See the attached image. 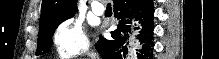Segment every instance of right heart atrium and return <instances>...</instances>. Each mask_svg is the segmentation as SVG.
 I'll return each instance as SVG.
<instances>
[{
  "mask_svg": "<svg viewBox=\"0 0 219 59\" xmlns=\"http://www.w3.org/2000/svg\"><path fill=\"white\" fill-rule=\"evenodd\" d=\"M53 47L58 56L73 58L87 52L89 41L81 23L68 18L55 29L52 36Z\"/></svg>",
  "mask_w": 219,
  "mask_h": 59,
  "instance_id": "obj_1",
  "label": "right heart atrium"
}]
</instances>
